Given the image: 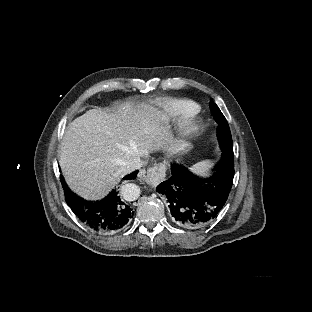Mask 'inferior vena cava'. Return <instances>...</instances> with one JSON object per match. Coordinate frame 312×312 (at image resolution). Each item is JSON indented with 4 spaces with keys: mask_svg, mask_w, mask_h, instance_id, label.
Wrapping results in <instances>:
<instances>
[{
    "mask_svg": "<svg viewBox=\"0 0 312 312\" xmlns=\"http://www.w3.org/2000/svg\"><path fill=\"white\" fill-rule=\"evenodd\" d=\"M146 165V161L142 160L141 157H135L131 161L126 163V172H132L136 169L141 168L142 166Z\"/></svg>",
    "mask_w": 312,
    "mask_h": 312,
    "instance_id": "602c4592",
    "label": "inferior vena cava"
}]
</instances>
